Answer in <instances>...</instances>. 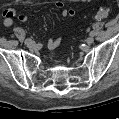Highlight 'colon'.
<instances>
[{
	"label": "colon",
	"mask_w": 119,
	"mask_h": 119,
	"mask_svg": "<svg viewBox=\"0 0 119 119\" xmlns=\"http://www.w3.org/2000/svg\"><path fill=\"white\" fill-rule=\"evenodd\" d=\"M111 10L109 7H100L96 14L95 17L98 20H107L110 17Z\"/></svg>",
	"instance_id": "obj_1"
}]
</instances>
